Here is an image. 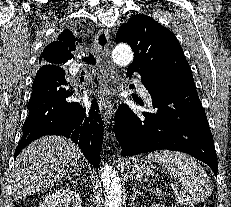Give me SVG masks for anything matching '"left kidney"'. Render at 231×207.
Wrapping results in <instances>:
<instances>
[{
  "mask_svg": "<svg viewBox=\"0 0 231 207\" xmlns=\"http://www.w3.org/2000/svg\"><path fill=\"white\" fill-rule=\"evenodd\" d=\"M151 207H165L163 204L160 203H153Z\"/></svg>",
  "mask_w": 231,
  "mask_h": 207,
  "instance_id": "left-kidney-1",
  "label": "left kidney"
}]
</instances>
